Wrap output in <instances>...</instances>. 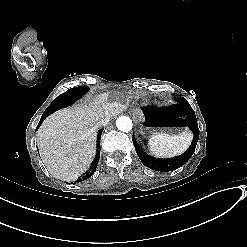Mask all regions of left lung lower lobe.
<instances>
[{
  "mask_svg": "<svg viewBox=\"0 0 247 247\" xmlns=\"http://www.w3.org/2000/svg\"><path fill=\"white\" fill-rule=\"evenodd\" d=\"M181 106L175 105L176 109L179 111V114L184 113L187 116L186 121L189 123L190 129L194 133V141L192 144V147L181 155L180 157H175L171 159H159L152 157L145 153L136 143L134 137H132L133 144L135 146L136 153L138 157L140 158L141 162L148 168L156 171H162V172H167V171H172L175 170L181 166H183L193 155L196 144L198 142V137H199V129L197 125V119L195 116V113L190 106L188 102H180Z\"/></svg>",
  "mask_w": 247,
  "mask_h": 247,
  "instance_id": "1",
  "label": "left lung lower lobe"
}]
</instances>
